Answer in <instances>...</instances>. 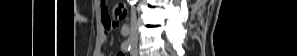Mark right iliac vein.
<instances>
[{
  "instance_id": "1",
  "label": "right iliac vein",
  "mask_w": 297,
  "mask_h": 56,
  "mask_svg": "<svg viewBox=\"0 0 297 56\" xmlns=\"http://www.w3.org/2000/svg\"><path fill=\"white\" fill-rule=\"evenodd\" d=\"M130 42H131V43H135L136 40L132 38V39L130 40Z\"/></svg>"
}]
</instances>
